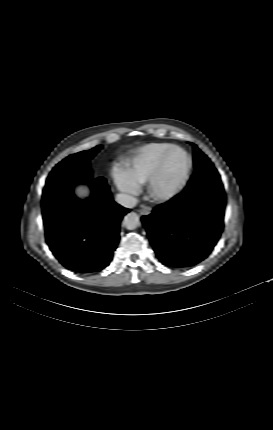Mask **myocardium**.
Instances as JSON below:
<instances>
[{"instance_id": "myocardium-1", "label": "myocardium", "mask_w": 273, "mask_h": 430, "mask_svg": "<svg viewBox=\"0 0 273 430\" xmlns=\"http://www.w3.org/2000/svg\"><path fill=\"white\" fill-rule=\"evenodd\" d=\"M174 151H179L184 155V157L187 160V167L184 174L180 178V180L174 186H172L167 190H162L160 188V180L163 174L164 166L167 158ZM192 168H193V162L188 152L180 146L172 145L161 155L154 171L152 172L149 180L147 181L148 192L150 196L157 201H168L175 198L187 184L192 172Z\"/></svg>"}]
</instances>
